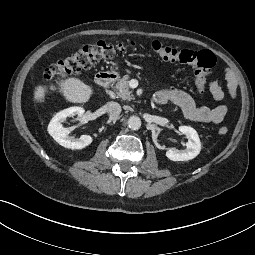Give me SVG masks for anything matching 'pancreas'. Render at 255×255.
<instances>
[{
	"label": "pancreas",
	"instance_id": "1",
	"mask_svg": "<svg viewBox=\"0 0 255 255\" xmlns=\"http://www.w3.org/2000/svg\"><path fill=\"white\" fill-rule=\"evenodd\" d=\"M129 80L130 76L126 74L115 84L114 91L116 92L117 97L121 98L122 100L131 101L135 99L129 87Z\"/></svg>",
	"mask_w": 255,
	"mask_h": 255
}]
</instances>
